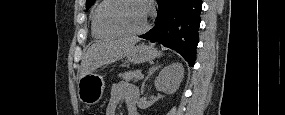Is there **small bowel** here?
<instances>
[{"label":"small bowel","instance_id":"small-bowel-1","mask_svg":"<svg viewBox=\"0 0 285 115\" xmlns=\"http://www.w3.org/2000/svg\"><path fill=\"white\" fill-rule=\"evenodd\" d=\"M136 89L126 82H118L112 86L110 98L106 106V115H115L119 104L124 102L129 115H137L135 104L137 101Z\"/></svg>","mask_w":285,"mask_h":115}]
</instances>
